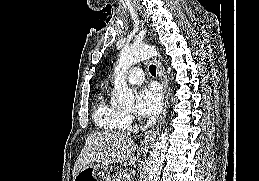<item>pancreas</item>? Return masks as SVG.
<instances>
[{"mask_svg": "<svg viewBox=\"0 0 259 181\" xmlns=\"http://www.w3.org/2000/svg\"><path fill=\"white\" fill-rule=\"evenodd\" d=\"M124 174H125V170L124 169H122V168L117 169L115 174H113L111 176V181H121V179L124 176Z\"/></svg>", "mask_w": 259, "mask_h": 181, "instance_id": "pancreas-1", "label": "pancreas"}]
</instances>
